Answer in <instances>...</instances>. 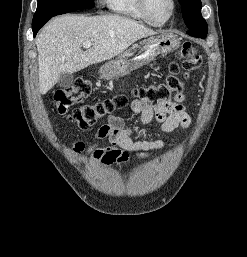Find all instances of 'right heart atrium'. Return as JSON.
Here are the masks:
<instances>
[{"label":"right heart atrium","instance_id":"d8ad5b80","mask_svg":"<svg viewBox=\"0 0 247 257\" xmlns=\"http://www.w3.org/2000/svg\"><path fill=\"white\" fill-rule=\"evenodd\" d=\"M100 2H104L105 0H99Z\"/></svg>","mask_w":247,"mask_h":257}]
</instances>
